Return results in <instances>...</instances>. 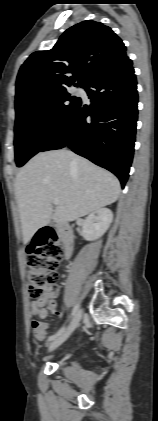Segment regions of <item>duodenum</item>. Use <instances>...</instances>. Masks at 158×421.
<instances>
[{
    "label": "duodenum",
    "instance_id": "duodenum-1",
    "mask_svg": "<svg viewBox=\"0 0 158 421\" xmlns=\"http://www.w3.org/2000/svg\"><path fill=\"white\" fill-rule=\"evenodd\" d=\"M59 236L62 241L65 257H69L71 255L72 249H73V231L72 229L65 223L60 224L58 226ZM44 233H51L50 229L48 227L43 228Z\"/></svg>",
    "mask_w": 158,
    "mask_h": 421
}]
</instances>
